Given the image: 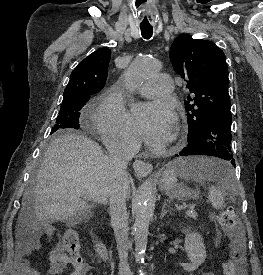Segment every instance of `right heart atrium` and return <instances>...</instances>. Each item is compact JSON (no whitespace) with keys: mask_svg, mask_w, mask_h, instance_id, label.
I'll return each instance as SVG.
<instances>
[{"mask_svg":"<svg viewBox=\"0 0 263 275\" xmlns=\"http://www.w3.org/2000/svg\"><path fill=\"white\" fill-rule=\"evenodd\" d=\"M92 129L104 143L133 149L138 140L129 125V116L113 90L103 94L92 110Z\"/></svg>","mask_w":263,"mask_h":275,"instance_id":"d8ad5b80","label":"right heart atrium"}]
</instances>
